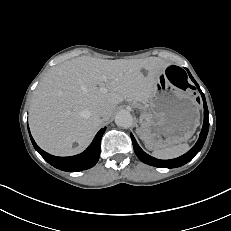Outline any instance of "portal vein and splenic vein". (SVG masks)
<instances>
[{
    "mask_svg": "<svg viewBox=\"0 0 231 231\" xmlns=\"http://www.w3.org/2000/svg\"><path fill=\"white\" fill-rule=\"evenodd\" d=\"M101 79L104 80V81H106V80H107V77L103 75V76L101 77ZM100 90L103 91V92H106V91H107V89H106L105 87H101Z\"/></svg>",
    "mask_w": 231,
    "mask_h": 231,
    "instance_id": "1",
    "label": "portal vein and splenic vein"
}]
</instances>
